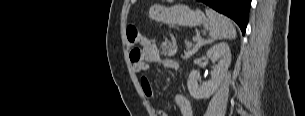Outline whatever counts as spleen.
Segmentation results:
<instances>
[{"label": "spleen", "mask_w": 305, "mask_h": 116, "mask_svg": "<svg viewBox=\"0 0 305 116\" xmlns=\"http://www.w3.org/2000/svg\"><path fill=\"white\" fill-rule=\"evenodd\" d=\"M205 12L209 19L210 34V39L207 43L236 37V29L231 19L210 8H207Z\"/></svg>", "instance_id": "obj_1"}]
</instances>
